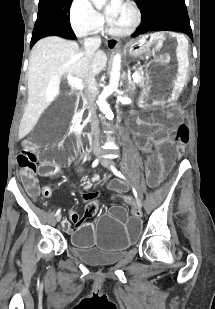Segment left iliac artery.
Segmentation results:
<instances>
[{"label":"left iliac artery","mask_w":215,"mask_h":309,"mask_svg":"<svg viewBox=\"0 0 215 309\" xmlns=\"http://www.w3.org/2000/svg\"><path fill=\"white\" fill-rule=\"evenodd\" d=\"M111 170L113 171V173H114L116 176L123 178L124 180H126V181L131 185L133 194H134V196L136 197L137 201H139L138 194H137V191H136V189L134 188V186H133V185L121 174V172L118 171L113 165H111Z\"/></svg>","instance_id":"obj_1"}]
</instances>
